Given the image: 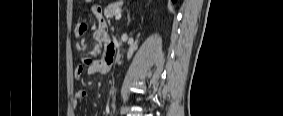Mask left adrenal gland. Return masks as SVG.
<instances>
[{
    "label": "left adrenal gland",
    "mask_w": 283,
    "mask_h": 116,
    "mask_svg": "<svg viewBox=\"0 0 283 116\" xmlns=\"http://www.w3.org/2000/svg\"><path fill=\"white\" fill-rule=\"evenodd\" d=\"M127 18H128V24H129L130 23V14L129 13H128Z\"/></svg>",
    "instance_id": "a2214340"
}]
</instances>
